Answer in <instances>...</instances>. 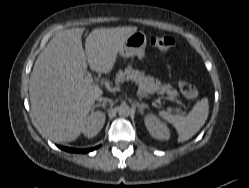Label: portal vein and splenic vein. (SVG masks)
Here are the masks:
<instances>
[{"mask_svg": "<svg viewBox=\"0 0 249 188\" xmlns=\"http://www.w3.org/2000/svg\"><path fill=\"white\" fill-rule=\"evenodd\" d=\"M85 82L88 83V84H92L93 83V78H92V75L90 73H87V75L85 76ZM137 94L139 96H141V97H145V98L150 99L149 96L144 95L140 90L137 91Z\"/></svg>", "mask_w": 249, "mask_h": 188, "instance_id": "1", "label": "portal vein and splenic vein"}]
</instances>
